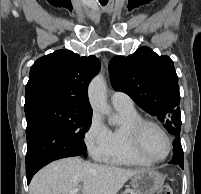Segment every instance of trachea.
I'll list each match as a JSON object with an SVG mask.
<instances>
[{"mask_svg":"<svg viewBox=\"0 0 201 194\" xmlns=\"http://www.w3.org/2000/svg\"><path fill=\"white\" fill-rule=\"evenodd\" d=\"M100 3H101L102 5H106V4H107V2H101V0H100Z\"/></svg>","mask_w":201,"mask_h":194,"instance_id":"1","label":"trachea"}]
</instances>
